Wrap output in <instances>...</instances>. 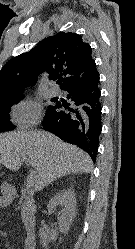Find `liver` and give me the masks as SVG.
<instances>
[{
  "mask_svg": "<svg viewBox=\"0 0 135 249\" xmlns=\"http://www.w3.org/2000/svg\"><path fill=\"white\" fill-rule=\"evenodd\" d=\"M22 157L28 158L35 169V190L68 174L90 173L93 168L86 152L48 132L0 134V164L16 171L21 167Z\"/></svg>",
  "mask_w": 135,
  "mask_h": 249,
  "instance_id": "6515ba94",
  "label": "liver"
}]
</instances>
